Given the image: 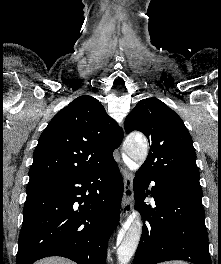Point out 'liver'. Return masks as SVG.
<instances>
[{"mask_svg":"<svg viewBox=\"0 0 221 264\" xmlns=\"http://www.w3.org/2000/svg\"><path fill=\"white\" fill-rule=\"evenodd\" d=\"M34 264H75L74 262L62 257H47Z\"/></svg>","mask_w":221,"mask_h":264,"instance_id":"1","label":"liver"}]
</instances>
